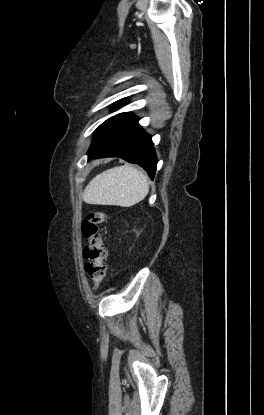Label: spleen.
<instances>
[{
    "label": "spleen",
    "mask_w": 264,
    "mask_h": 415,
    "mask_svg": "<svg viewBox=\"0 0 264 415\" xmlns=\"http://www.w3.org/2000/svg\"><path fill=\"white\" fill-rule=\"evenodd\" d=\"M148 192L146 175L124 165L95 176L86 186L82 199L88 204L130 207L143 200Z\"/></svg>",
    "instance_id": "1"
}]
</instances>
